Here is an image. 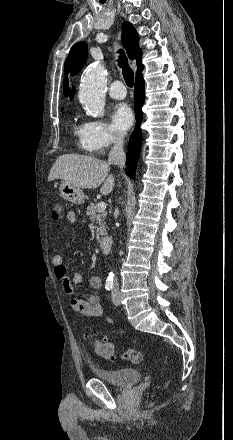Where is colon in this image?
Masks as SVG:
<instances>
[{
  "label": "colon",
  "instance_id": "5ec220e1",
  "mask_svg": "<svg viewBox=\"0 0 233 440\" xmlns=\"http://www.w3.org/2000/svg\"><path fill=\"white\" fill-rule=\"evenodd\" d=\"M63 215V205L60 202H56L52 208V218L60 219ZM87 336H92L90 332L86 333ZM95 351L96 353L104 359H113L115 357V346L113 343L107 340H96L95 341ZM121 358L126 361L133 363H139L143 359V353L136 349H125L121 353Z\"/></svg>",
  "mask_w": 233,
  "mask_h": 440
}]
</instances>
